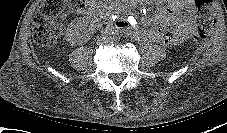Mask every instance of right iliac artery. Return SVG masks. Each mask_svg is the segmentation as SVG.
I'll return each instance as SVG.
<instances>
[{
	"mask_svg": "<svg viewBox=\"0 0 227 133\" xmlns=\"http://www.w3.org/2000/svg\"><path fill=\"white\" fill-rule=\"evenodd\" d=\"M107 34H114L113 32L111 33V32H106Z\"/></svg>",
	"mask_w": 227,
	"mask_h": 133,
	"instance_id": "right-iliac-artery-1",
	"label": "right iliac artery"
}]
</instances>
